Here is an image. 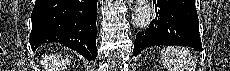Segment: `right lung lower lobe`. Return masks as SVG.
Listing matches in <instances>:
<instances>
[{
    "instance_id": "98d812e1",
    "label": "right lung lower lobe",
    "mask_w": 230,
    "mask_h": 71,
    "mask_svg": "<svg viewBox=\"0 0 230 71\" xmlns=\"http://www.w3.org/2000/svg\"><path fill=\"white\" fill-rule=\"evenodd\" d=\"M97 0H36L30 45L60 43L95 60Z\"/></svg>"
}]
</instances>
